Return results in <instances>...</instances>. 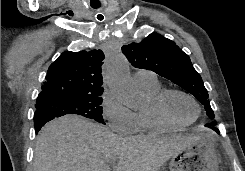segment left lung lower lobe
Instances as JSON below:
<instances>
[{"label":"left lung lower lobe","mask_w":245,"mask_h":171,"mask_svg":"<svg viewBox=\"0 0 245 171\" xmlns=\"http://www.w3.org/2000/svg\"><path fill=\"white\" fill-rule=\"evenodd\" d=\"M205 126L211 128L212 130H214L216 133L219 134V130L214 125H211V124L208 123Z\"/></svg>","instance_id":"1"}]
</instances>
